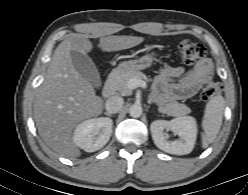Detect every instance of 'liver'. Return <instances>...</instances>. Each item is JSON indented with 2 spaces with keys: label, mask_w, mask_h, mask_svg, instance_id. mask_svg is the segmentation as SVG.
<instances>
[{
  "label": "liver",
  "mask_w": 248,
  "mask_h": 195,
  "mask_svg": "<svg viewBox=\"0 0 248 195\" xmlns=\"http://www.w3.org/2000/svg\"><path fill=\"white\" fill-rule=\"evenodd\" d=\"M144 41L137 36L101 37L99 47L112 52L135 47ZM92 43L84 34L71 33L55 49L47 75L37 90L34 119L44 142L64 157H78L72 131L80 122L102 113L103 101L92 84L74 68L70 52L86 54Z\"/></svg>",
  "instance_id": "liver-1"
}]
</instances>
